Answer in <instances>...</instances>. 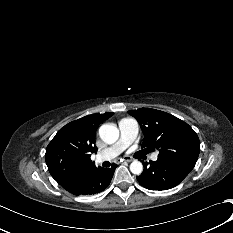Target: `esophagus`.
<instances>
[{
	"instance_id": "esophagus-1",
	"label": "esophagus",
	"mask_w": 233,
	"mask_h": 233,
	"mask_svg": "<svg viewBox=\"0 0 233 233\" xmlns=\"http://www.w3.org/2000/svg\"><path fill=\"white\" fill-rule=\"evenodd\" d=\"M121 161H124V162H132L133 161V158L131 157H125L124 159H122Z\"/></svg>"
}]
</instances>
